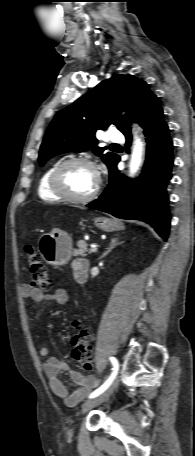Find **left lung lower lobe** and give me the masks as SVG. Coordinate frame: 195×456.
<instances>
[{
	"label": "left lung lower lobe",
	"mask_w": 195,
	"mask_h": 456,
	"mask_svg": "<svg viewBox=\"0 0 195 456\" xmlns=\"http://www.w3.org/2000/svg\"><path fill=\"white\" fill-rule=\"evenodd\" d=\"M163 110L154 96L137 113L134 120L144 128L147 142L146 161L139 179L132 181L117 169L118 157L109 169V185L102 195L87 207L110 213L122 219L141 220L150 224L164 239L170 227L166 186L171 179L173 143ZM127 145L130 129L123 133Z\"/></svg>",
	"instance_id": "left-lung-lower-lobe-1"
}]
</instances>
